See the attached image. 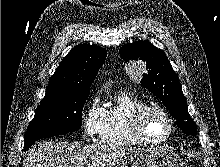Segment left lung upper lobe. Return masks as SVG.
Returning a JSON list of instances; mask_svg holds the SVG:
<instances>
[{"instance_id": "5c2ea615", "label": "left lung upper lobe", "mask_w": 220, "mask_h": 167, "mask_svg": "<svg viewBox=\"0 0 220 167\" xmlns=\"http://www.w3.org/2000/svg\"><path fill=\"white\" fill-rule=\"evenodd\" d=\"M120 56L125 62L132 59L146 62L147 70L141 85L162 101L184 134L195 136L196 124L188 113L178 76L166 54L148 41H137L124 45L120 49Z\"/></svg>"}]
</instances>
